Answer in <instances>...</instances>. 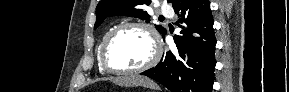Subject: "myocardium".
Masks as SVG:
<instances>
[{"label": "myocardium", "mask_w": 289, "mask_h": 92, "mask_svg": "<svg viewBox=\"0 0 289 92\" xmlns=\"http://www.w3.org/2000/svg\"><path fill=\"white\" fill-rule=\"evenodd\" d=\"M127 28H141L145 30L151 38L153 44V53L150 59L144 63L143 65L137 68H116L112 66L108 60V51L111 43L115 39V37L121 33L123 30ZM162 53V46L159 39V36L152 25L143 21H128L123 22L116 27H114L106 36L105 40L103 41L101 51H100V61L101 65L109 73L114 74H137L143 71H146L153 67L160 59Z\"/></svg>", "instance_id": "obj_1"}]
</instances>
